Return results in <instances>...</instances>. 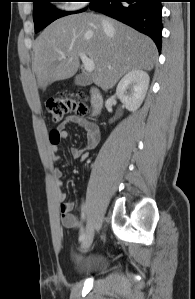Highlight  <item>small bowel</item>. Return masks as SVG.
I'll return each mask as SVG.
<instances>
[{"mask_svg":"<svg viewBox=\"0 0 195 299\" xmlns=\"http://www.w3.org/2000/svg\"><path fill=\"white\" fill-rule=\"evenodd\" d=\"M73 123L82 127L86 131V144L82 148L74 147L71 149V156L73 158H82L88 151L93 150L97 147L100 142V130L97 125L91 121L77 117H69L63 124L58 128L54 129L49 136L50 151L52 159L55 163L59 162V157L57 156V151L59 144L62 140L69 137V132L67 130V125ZM53 177L55 180V194L59 201V212L60 221L63 227L68 229H78L81 226V220L73 213L74 202L67 201L66 195L61 186V179L63 177V172L59 168H54Z\"/></svg>","mask_w":195,"mask_h":299,"instance_id":"c3829d8e","label":"small bowel"}]
</instances>
